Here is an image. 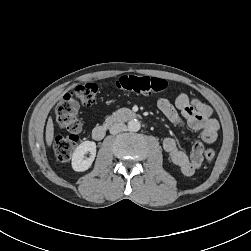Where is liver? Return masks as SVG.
Returning a JSON list of instances; mask_svg holds the SVG:
<instances>
[{
  "instance_id": "liver-1",
  "label": "liver",
  "mask_w": 251,
  "mask_h": 251,
  "mask_svg": "<svg viewBox=\"0 0 251 251\" xmlns=\"http://www.w3.org/2000/svg\"><path fill=\"white\" fill-rule=\"evenodd\" d=\"M53 137H54L53 120L51 117H49L46 125V144L48 147L51 146Z\"/></svg>"
}]
</instances>
